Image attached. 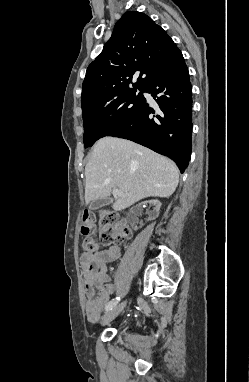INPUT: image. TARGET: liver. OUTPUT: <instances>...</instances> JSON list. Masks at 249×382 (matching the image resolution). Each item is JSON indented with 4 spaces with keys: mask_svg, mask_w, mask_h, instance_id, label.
Segmentation results:
<instances>
[{
    "mask_svg": "<svg viewBox=\"0 0 249 382\" xmlns=\"http://www.w3.org/2000/svg\"><path fill=\"white\" fill-rule=\"evenodd\" d=\"M85 202L119 196L112 203L122 211L147 197H170L179 182L173 161L130 140L106 136L98 140L85 167Z\"/></svg>",
    "mask_w": 249,
    "mask_h": 382,
    "instance_id": "obj_1",
    "label": "liver"
}]
</instances>
